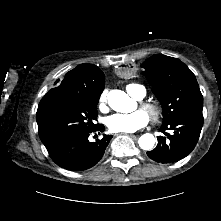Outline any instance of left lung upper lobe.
<instances>
[{"label":"left lung upper lobe","instance_id":"obj_1","mask_svg":"<svg viewBox=\"0 0 221 221\" xmlns=\"http://www.w3.org/2000/svg\"><path fill=\"white\" fill-rule=\"evenodd\" d=\"M142 67L163 107V123L179 115L203 108V96L193 72L179 59L157 54L147 59ZM173 147L163 149L170 156Z\"/></svg>","mask_w":221,"mask_h":221}]
</instances>
